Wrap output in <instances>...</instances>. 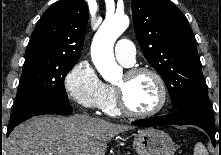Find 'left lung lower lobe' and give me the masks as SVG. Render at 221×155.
<instances>
[{"instance_id":"0a47b994","label":"left lung lower lobe","mask_w":221,"mask_h":155,"mask_svg":"<svg viewBox=\"0 0 221 155\" xmlns=\"http://www.w3.org/2000/svg\"><path fill=\"white\" fill-rule=\"evenodd\" d=\"M136 126H162L167 124H191L204 129L215 145V119L210 111L208 95H200L186 101L175 112L132 122Z\"/></svg>"}]
</instances>
